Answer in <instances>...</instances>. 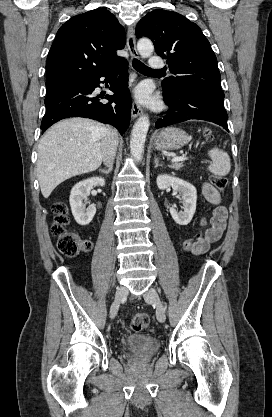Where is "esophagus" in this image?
<instances>
[{
	"mask_svg": "<svg viewBox=\"0 0 272 417\" xmlns=\"http://www.w3.org/2000/svg\"><path fill=\"white\" fill-rule=\"evenodd\" d=\"M127 48L133 59L139 58L137 49H136V39H135L133 27H130L128 29ZM141 114H142V108L137 103H133L132 110H131L132 118H137Z\"/></svg>",
	"mask_w": 272,
	"mask_h": 417,
	"instance_id": "esophagus-1",
	"label": "esophagus"
}]
</instances>
